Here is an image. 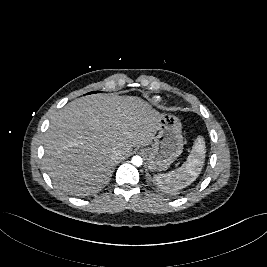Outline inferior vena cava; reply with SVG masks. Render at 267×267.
I'll return each mask as SVG.
<instances>
[{
    "mask_svg": "<svg viewBox=\"0 0 267 267\" xmlns=\"http://www.w3.org/2000/svg\"><path fill=\"white\" fill-rule=\"evenodd\" d=\"M121 157V151L120 150H114L112 152V159L116 160L119 159Z\"/></svg>",
    "mask_w": 267,
    "mask_h": 267,
    "instance_id": "602c4592",
    "label": "inferior vena cava"
}]
</instances>
